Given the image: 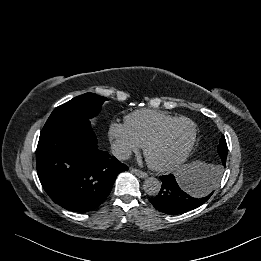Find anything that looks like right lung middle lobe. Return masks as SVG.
Masks as SVG:
<instances>
[{"mask_svg":"<svg viewBox=\"0 0 261 261\" xmlns=\"http://www.w3.org/2000/svg\"><path fill=\"white\" fill-rule=\"evenodd\" d=\"M106 100L107 98L93 93L77 96L55 108L43 128L63 122L88 120L100 112L102 103Z\"/></svg>","mask_w":261,"mask_h":261,"instance_id":"dd1d6c3e","label":"right lung middle lobe"}]
</instances>
